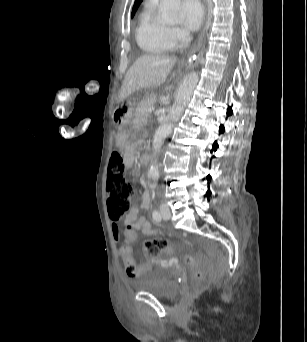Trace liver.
Returning <instances> with one entry per match:
<instances>
[{
	"instance_id": "obj_1",
	"label": "liver",
	"mask_w": 307,
	"mask_h": 342,
	"mask_svg": "<svg viewBox=\"0 0 307 342\" xmlns=\"http://www.w3.org/2000/svg\"><path fill=\"white\" fill-rule=\"evenodd\" d=\"M175 62H177L176 58H168L162 54L140 56L124 76L118 96L119 100H125L127 96L140 88H151V86L164 84L172 72ZM173 76H176V72Z\"/></svg>"
}]
</instances>
